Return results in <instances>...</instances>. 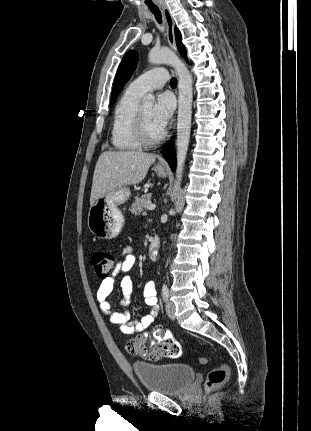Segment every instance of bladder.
Masks as SVG:
<instances>
[{
  "label": "bladder",
  "instance_id": "bladder-1",
  "mask_svg": "<svg viewBox=\"0 0 311 431\" xmlns=\"http://www.w3.org/2000/svg\"><path fill=\"white\" fill-rule=\"evenodd\" d=\"M133 371L144 389L169 395L184 392L195 377L194 369L183 363L138 362L133 365Z\"/></svg>",
  "mask_w": 311,
  "mask_h": 431
}]
</instances>
